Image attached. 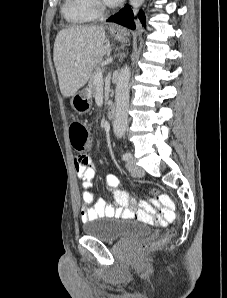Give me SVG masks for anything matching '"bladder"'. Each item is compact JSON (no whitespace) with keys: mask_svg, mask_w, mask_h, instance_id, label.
I'll list each match as a JSON object with an SVG mask.
<instances>
[{"mask_svg":"<svg viewBox=\"0 0 227 298\" xmlns=\"http://www.w3.org/2000/svg\"><path fill=\"white\" fill-rule=\"evenodd\" d=\"M82 230L85 235L105 242L146 236L151 232V228L143 223L118 218L88 221L83 225Z\"/></svg>","mask_w":227,"mask_h":298,"instance_id":"bladder-1","label":"bladder"}]
</instances>
